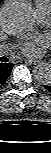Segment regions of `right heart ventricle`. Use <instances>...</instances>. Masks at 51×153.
Segmentation results:
<instances>
[{"label": "right heart ventricle", "mask_w": 51, "mask_h": 153, "mask_svg": "<svg viewBox=\"0 0 51 153\" xmlns=\"http://www.w3.org/2000/svg\"><path fill=\"white\" fill-rule=\"evenodd\" d=\"M36 11H41L44 9H49L51 10V2L50 0H36Z\"/></svg>", "instance_id": "obj_1"}]
</instances>
